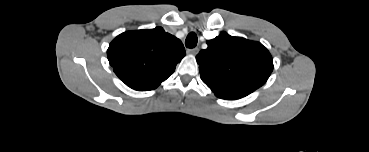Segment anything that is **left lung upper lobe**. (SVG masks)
I'll return each mask as SVG.
<instances>
[{
  "mask_svg": "<svg viewBox=\"0 0 369 152\" xmlns=\"http://www.w3.org/2000/svg\"><path fill=\"white\" fill-rule=\"evenodd\" d=\"M196 56L202 81L219 98L235 100L262 86L273 70L269 51L259 42L221 32Z\"/></svg>",
  "mask_w": 369,
  "mask_h": 152,
  "instance_id": "5c2ea615",
  "label": "left lung upper lobe"
}]
</instances>
